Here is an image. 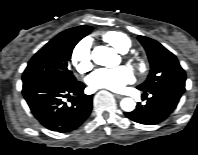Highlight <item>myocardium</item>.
Listing matches in <instances>:
<instances>
[{"instance_id": "1", "label": "myocardium", "mask_w": 198, "mask_h": 155, "mask_svg": "<svg viewBox=\"0 0 198 155\" xmlns=\"http://www.w3.org/2000/svg\"><path fill=\"white\" fill-rule=\"evenodd\" d=\"M132 61L133 63L136 65V66H139L140 65V60L138 58H132Z\"/></svg>"}]
</instances>
